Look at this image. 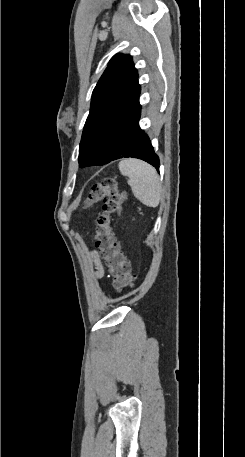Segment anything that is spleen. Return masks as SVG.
Segmentation results:
<instances>
[{"label":"spleen","instance_id":"3e777b00","mask_svg":"<svg viewBox=\"0 0 245 457\" xmlns=\"http://www.w3.org/2000/svg\"><path fill=\"white\" fill-rule=\"evenodd\" d=\"M119 170L129 176L128 184L136 198L147 206H158L161 200V186L156 168L139 158H121Z\"/></svg>","mask_w":245,"mask_h":457}]
</instances>
